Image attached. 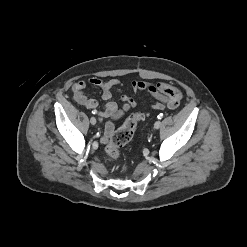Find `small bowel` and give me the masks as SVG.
I'll list each match as a JSON object with an SVG mask.
<instances>
[{
    "instance_id": "small-bowel-1",
    "label": "small bowel",
    "mask_w": 247,
    "mask_h": 247,
    "mask_svg": "<svg viewBox=\"0 0 247 247\" xmlns=\"http://www.w3.org/2000/svg\"><path fill=\"white\" fill-rule=\"evenodd\" d=\"M90 85L96 86L102 91V99L107 101L103 106L95 99L89 98L85 94L86 82L78 81L72 87L73 100L82 107L93 109L98 112L101 121H104L102 142H106L114 131L113 120L121 118L130 109L136 106V101L133 97L126 95L121 96L123 105L121 107L114 101H111L113 89H118L124 83L119 79L102 80L99 78H90ZM133 92L137 94L141 91H147L156 100L153 103L155 109H175L179 106L182 99L181 91L165 82L151 83L148 81L135 80L129 83Z\"/></svg>"
}]
</instances>
